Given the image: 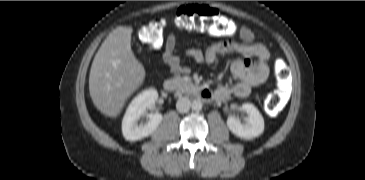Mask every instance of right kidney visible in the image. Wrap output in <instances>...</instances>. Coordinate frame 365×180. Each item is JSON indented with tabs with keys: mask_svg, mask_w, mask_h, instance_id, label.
<instances>
[{
	"mask_svg": "<svg viewBox=\"0 0 365 180\" xmlns=\"http://www.w3.org/2000/svg\"><path fill=\"white\" fill-rule=\"evenodd\" d=\"M163 95L165 96L164 93ZM157 99V90L148 89L132 100L122 121V132L126 140L136 141L143 139L158 128L163 120L162 115L159 113L149 114L147 123L138 124L140 117L146 114L147 108L155 104Z\"/></svg>",
	"mask_w": 365,
	"mask_h": 180,
	"instance_id": "ca27d5eb",
	"label": "right kidney"
}]
</instances>
